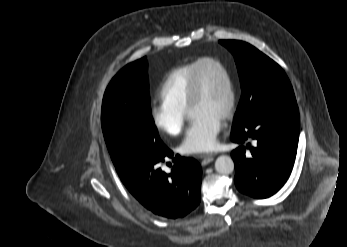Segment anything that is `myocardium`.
<instances>
[{"label": "myocardium", "instance_id": "f54148a6", "mask_svg": "<svg viewBox=\"0 0 347 247\" xmlns=\"http://www.w3.org/2000/svg\"><path fill=\"white\" fill-rule=\"evenodd\" d=\"M204 64H211L214 66H217L224 74L227 85H228V92H229V100L228 105L226 108V111L223 115L224 120L230 119L235 111L236 108V101H237V94H236V88L234 84V79L232 77V74L229 70V68L219 59L214 57H203L198 59L197 64L192 72L190 83H189V89H188V98H187V110L189 111L190 108L199 100L201 95V86H200V80H199V69Z\"/></svg>", "mask_w": 347, "mask_h": 247}]
</instances>
